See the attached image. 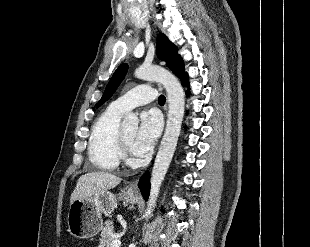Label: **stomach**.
<instances>
[{
    "label": "stomach",
    "mask_w": 310,
    "mask_h": 247,
    "mask_svg": "<svg viewBox=\"0 0 310 247\" xmlns=\"http://www.w3.org/2000/svg\"><path fill=\"white\" fill-rule=\"evenodd\" d=\"M118 198L132 204L138 199L128 188L123 189ZM116 206L117 196L108 190L99 191L86 199L72 201L67 215L68 231L80 239L96 236L103 228L102 214H111Z\"/></svg>",
    "instance_id": "stomach-1"
}]
</instances>
